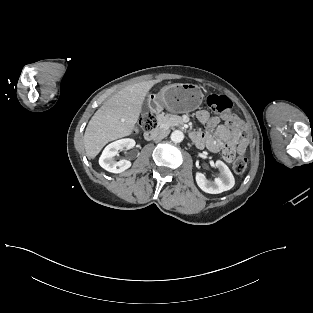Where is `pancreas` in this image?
Returning <instances> with one entry per match:
<instances>
[{"label":"pancreas","mask_w":313,"mask_h":313,"mask_svg":"<svg viewBox=\"0 0 313 313\" xmlns=\"http://www.w3.org/2000/svg\"><path fill=\"white\" fill-rule=\"evenodd\" d=\"M156 119L158 126L164 129L174 126H182L184 124L182 118L174 114L161 113L157 115Z\"/></svg>","instance_id":"1"}]
</instances>
